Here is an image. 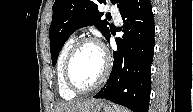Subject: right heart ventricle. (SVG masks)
I'll use <instances>...</instances> for the list:
<instances>
[{
    "instance_id": "obj_1",
    "label": "right heart ventricle",
    "mask_w": 193,
    "mask_h": 112,
    "mask_svg": "<svg viewBox=\"0 0 193 112\" xmlns=\"http://www.w3.org/2000/svg\"><path fill=\"white\" fill-rule=\"evenodd\" d=\"M75 42L76 39L74 36L69 37L62 45L57 58L56 77H57L58 92L59 95L66 100L73 99L76 96V94L70 91L69 88L67 87L63 73L66 56Z\"/></svg>"
}]
</instances>
